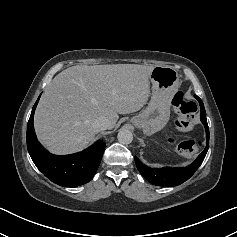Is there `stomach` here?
Instances as JSON below:
<instances>
[{"mask_svg":"<svg viewBox=\"0 0 237 237\" xmlns=\"http://www.w3.org/2000/svg\"><path fill=\"white\" fill-rule=\"evenodd\" d=\"M149 80L152 83L151 100L145 110L130 120L146 135L163 129L169 121L170 101L179 86V74L172 67L155 66Z\"/></svg>","mask_w":237,"mask_h":237,"instance_id":"stomach-1","label":"stomach"}]
</instances>
